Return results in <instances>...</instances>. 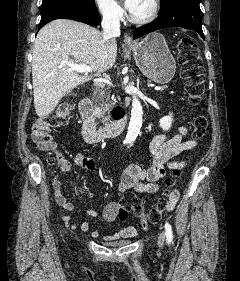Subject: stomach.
Here are the masks:
<instances>
[{
    "instance_id": "stomach-1",
    "label": "stomach",
    "mask_w": 240,
    "mask_h": 281,
    "mask_svg": "<svg viewBox=\"0 0 240 281\" xmlns=\"http://www.w3.org/2000/svg\"><path fill=\"white\" fill-rule=\"evenodd\" d=\"M128 48L146 77L159 84L171 81L176 71V62L161 34L152 33Z\"/></svg>"
}]
</instances>
